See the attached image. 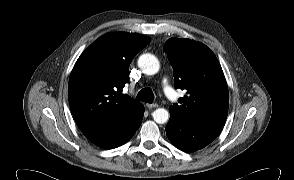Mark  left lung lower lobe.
I'll list each match as a JSON object with an SVG mask.
<instances>
[{
  "mask_svg": "<svg viewBox=\"0 0 294 180\" xmlns=\"http://www.w3.org/2000/svg\"><path fill=\"white\" fill-rule=\"evenodd\" d=\"M225 122H193L170 111L166 134L170 142L185 152H194L210 144L221 132Z\"/></svg>",
  "mask_w": 294,
  "mask_h": 180,
  "instance_id": "1",
  "label": "left lung lower lobe"
}]
</instances>
